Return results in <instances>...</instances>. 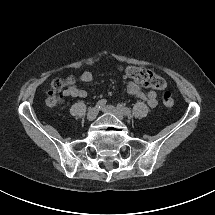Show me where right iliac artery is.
Masks as SVG:
<instances>
[{"label": "right iliac artery", "mask_w": 215, "mask_h": 215, "mask_svg": "<svg viewBox=\"0 0 215 215\" xmlns=\"http://www.w3.org/2000/svg\"><path fill=\"white\" fill-rule=\"evenodd\" d=\"M107 103V100L106 99H101L99 100L97 103H96V108H102L103 106H105Z\"/></svg>", "instance_id": "obj_1"}]
</instances>
